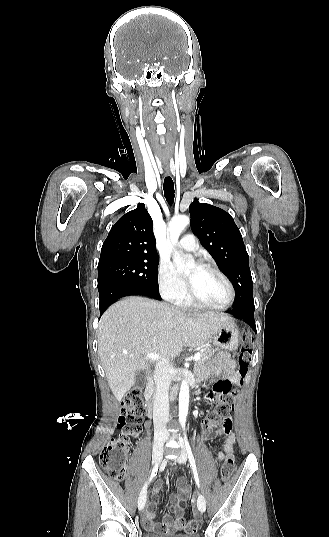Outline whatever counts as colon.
Returning <instances> with one entry per match:
<instances>
[{
  "label": "colon",
  "mask_w": 329,
  "mask_h": 537,
  "mask_svg": "<svg viewBox=\"0 0 329 537\" xmlns=\"http://www.w3.org/2000/svg\"><path fill=\"white\" fill-rule=\"evenodd\" d=\"M254 341L249 332L242 336L240 353L238 356L239 373L244 377L253 359ZM213 390V389H212ZM210 399V398H209ZM215 409L206 417V424L210 426H220L226 429L230 422V415L235 407L236 392L232 391L231 395L217 399ZM121 414L117 421L119 433L112 437L100 451V463L106 475L113 480L120 481L123 479L126 465L127 454L129 451L130 437H138L142 430L144 421V402L140 389H133L128 392L122 400ZM235 470V457L233 454L228 456L221 468V479L226 482ZM200 522L197 519L185 521V530L190 535H195L199 531Z\"/></svg>",
  "instance_id": "obj_1"
}]
</instances>
